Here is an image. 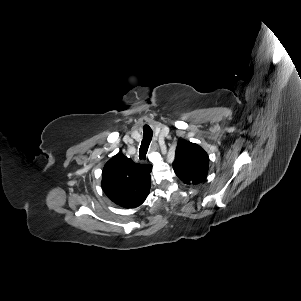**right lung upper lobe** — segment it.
<instances>
[{"instance_id": "right-lung-upper-lobe-1", "label": "right lung upper lobe", "mask_w": 301, "mask_h": 301, "mask_svg": "<svg viewBox=\"0 0 301 301\" xmlns=\"http://www.w3.org/2000/svg\"><path fill=\"white\" fill-rule=\"evenodd\" d=\"M152 165L137 164L122 153L106 163L102 188L108 198L125 208L141 205L150 192Z\"/></svg>"}]
</instances>
